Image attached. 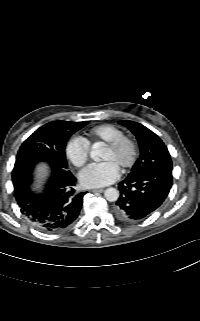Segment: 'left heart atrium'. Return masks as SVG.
<instances>
[{
    "instance_id": "1",
    "label": "left heart atrium",
    "mask_w": 200,
    "mask_h": 321,
    "mask_svg": "<svg viewBox=\"0 0 200 321\" xmlns=\"http://www.w3.org/2000/svg\"><path fill=\"white\" fill-rule=\"evenodd\" d=\"M119 167L110 160L92 163L85 167L79 179L86 187H103L113 183L119 177Z\"/></svg>"
}]
</instances>
